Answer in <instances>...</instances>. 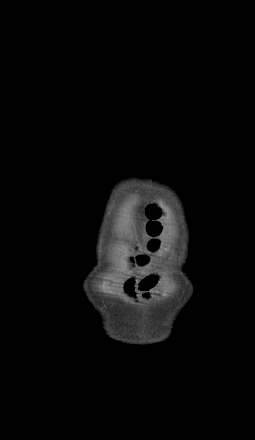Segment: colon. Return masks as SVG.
<instances>
[{"mask_svg": "<svg viewBox=\"0 0 255 440\" xmlns=\"http://www.w3.org/2000/svg\"><path fill=\"white\" fill-rule=\"evenodd\" d=\"M163 217V211L156 205H150L147 208V234L151 238L148 242V249L155 251L157 249V242L154 238L160 235L162 227L159 220Z\"/></svg>", "mask_w": 255, "mask_h": 440, "instance_id": "colon-1", "label": "colon"}]
</instances>
